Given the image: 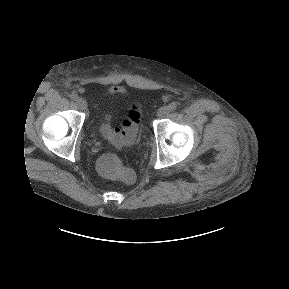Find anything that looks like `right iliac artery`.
<instances>
[{
    "label": "right iliac artery",
    "mask_w": 289,
    "mask_h": 289,
    "mask_svg": "<svg viewBox=\"0 0 289 289\" xmlns=\"http://www.w3.org/2000/svg\"><path fill=\"white\" fill-rule=\"evenodd\" d=\"M70 98H71L72 100L76 101V100L78 99V95L75 94V93H72V94L70 95Z\"/></svg>",
    "instance_id": "right-iliac-artery-1"
}]
</instances>
